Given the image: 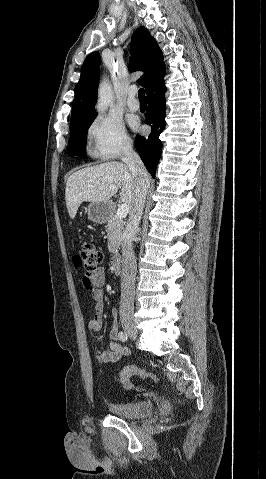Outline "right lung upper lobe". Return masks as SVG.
<instances>
[{"label": "right lung upper lobe", "mask_w": 266, "mask_h": 479, "mask_svg": "<svg viewBox=\"0 0 266 479\" xmlns=\"http://www.w3.org/2000/svg\"><path fill=\"white\" fill-rule=\"evenodd\" d=\"M131 53L133 61L130 62L129 70L131 72L144 71V75L138 79V83L148 92L163 81L165 67L162 62V52L146 28L141 27L134 32L131 40ZM100 61V54L96 51L89 54L83 63L80 80L75 90L71 123L97 115L94 103L97 99Z\"/></svg>", "instance_id": "obj_1"}]
</instances>
